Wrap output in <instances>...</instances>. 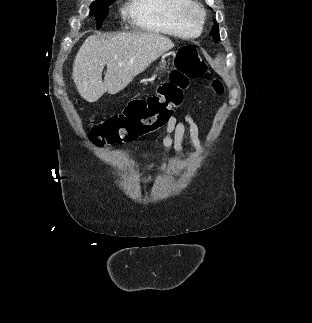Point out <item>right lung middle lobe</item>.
<instances>
[{"instance_id":"dd1d6c3e","label":"right lung middle lobe","mask_w":312,"mask_h":323,"mask_svg":"<svg viewBox=\"0 0 312 323\" xmlns=\"http://www.w3.org/2000/svg\"><path fill=\"white\" fill-rule=\"evenodd\" d=\"M115 0H111L106 3L93 2L90 6V15H95L97 21V28H100L103 21L105 20L108 12H109V4L114 2Z\"/></svg>"}]
</instances>
